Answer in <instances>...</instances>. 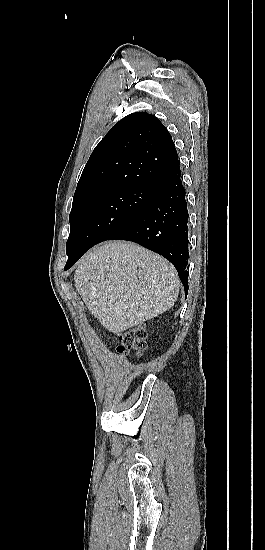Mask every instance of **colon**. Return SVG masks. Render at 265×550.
<instances>
[{
	"label": "colon",
	"mask_w": 265,
	"mask_h": 550,
	"mask_svg": "<svg viewBox=\"0 0 265 550\" xmlns=\"http://www.w3.org/2000/svg\"><path fill=\"white\" fill-rule=\"evenodd\" d=\"M146 336L147 332L144 326H138L121 333V345L117 347V351L124 355H129L131 352L141 354L146 347Z\"/></svg>",
	"instance_id": "1"
}]
</instances>
